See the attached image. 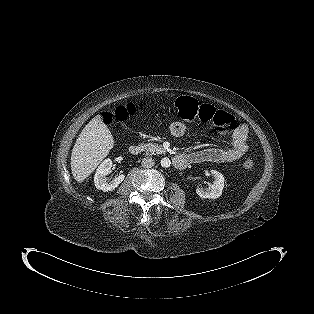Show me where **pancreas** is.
<instances>
[{
  "mask_svg": "<svg viewBox=\"0 0 314 314\" xmlns=\"http://www.w3.org/2000/svg\"><path fill=\"white\" fill-rule=\"evenodd\" d=\"M146 155L164 154L166 151L163 147L158 146L156 143H147L143 145Z\"/></svg>",
  "mask_w": 314,
  "mask_h": 314,
  "instance_id": "cf45deb5",
  "label": "pancreas"
}]
</instances>
